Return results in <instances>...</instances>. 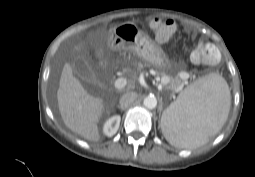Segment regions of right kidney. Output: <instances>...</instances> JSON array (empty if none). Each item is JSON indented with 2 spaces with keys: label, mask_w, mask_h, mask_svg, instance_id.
<instances>
[{
  "label": "right kidney",
  "mask_w": 255,
  "mask_h": 177,
  "mask_svg": "<svg viewBox=\"0 0 255 177\" xmlns=\"http://www.w3.org/2000/svg\"><path fill=\"white\" fill-rule=\"evenodd\" d=\"M120 121H121V117L119 115H114L111 118H109L104 123L103 133L108 137H111L114 134H116L120 126Z\"/></svg>",
  "instance_id": "1"
}]
</instances>
